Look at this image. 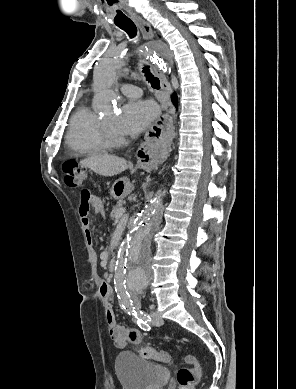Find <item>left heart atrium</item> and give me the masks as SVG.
Instances as JSON below:
<instances>
[{
    "instance_id": "1",
    "label": "left heart atrium",
    "mask_w": 296,
    "mask_h": 389,
    "mask_svg": "<svg viewBox=\"0 0 296 389\" xmlns=\"http://www.w3.org/2000/svg\"><path fill=\"white\" fill-rule=\"evenodd\" d=\"M157 115V107L152 102L131 101L123 107L116 127L119 133L136 135L147 129Z\"/></svg>"
}]
</instances>
